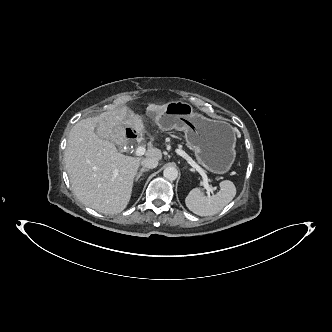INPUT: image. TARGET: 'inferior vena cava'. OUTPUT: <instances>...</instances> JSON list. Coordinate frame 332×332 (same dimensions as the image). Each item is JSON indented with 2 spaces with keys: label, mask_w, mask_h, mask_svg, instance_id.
Wrapping results in <instances>:
<instances>
[{
  "label": "inferior vena cava",
  "mask_w": 332,
  "mask_h": 332,
  "mask_svg": "<svg viewBox=\"0 0 332 332\" xmlns=\"http://www.w3.org/2000/svg\"><path fill=\"white\" fill-rule=\"evenodd\" d=\"M141 165L144 168L153 169L158 166V160L156 158H145L141 161Z\"/></svg>",
  "instance_id": "1"
}]
</instances>
